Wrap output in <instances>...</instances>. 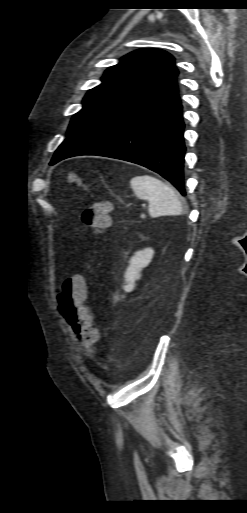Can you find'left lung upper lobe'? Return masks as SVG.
<instances>
[{"mask_svg": "<svg viewBox=\"0 0 247 513\" xmlns=\"http://www.w3.org/2000/svg\"><path fill=\"white\" fill-rule=\"evenodd\" d=\"M174 57L158 49H139L106 70L102 83L91 89L83 108L69 125L68 136L97 118L145 95L176 77Z\"/></svg>", "mask_w": 247, "mask_h": 513, "instance_id": "obj_1", "label": "left lung upper lobe"}]
</instances>
